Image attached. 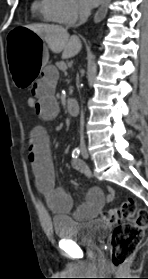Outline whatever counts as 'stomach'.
I'll use <instances>...</instances> for the list:
<instances>
[{"mask_svg":"<svg viewBox=\"0 0 148 279\" xmlns=\"http://www.w3.org/2000/svg\"><path fill=\"white\" fill-rule=\"evenodd\" d=\"M15 30L5 34V55H10L9 66L15 91H30L35 87L36 75L48 62V50L44 40L31 31L30 25H15Z\"/></svg>","mask_w":148,"mask_h":279,"instance_id":"1","label":"stomach"}]
</instances>
